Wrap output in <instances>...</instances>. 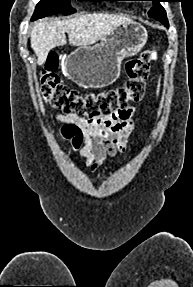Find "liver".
Returning <instances> with one entry per match:
<instances>
[{
    "label": "liver",
    "instance_id": "6515ba94",
    "mask_svg": "<svg viewBox=\"0 0 193 287\" xmlns=\"http://www.w3.org/2000/svg\"><path fill=\"white\" fill-rule=\"evenodd\" d=\"M131 22L125 16L92 13L67 20H40L31 30V48L37 56V64L43 65L51 49L67 43L68 33L72 46H88L104 39L119 25Z\"/></svg>",
    "mask_w": 193,
    "mask_h": 287
}]
</instances>
